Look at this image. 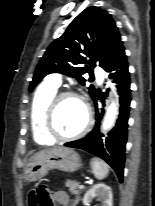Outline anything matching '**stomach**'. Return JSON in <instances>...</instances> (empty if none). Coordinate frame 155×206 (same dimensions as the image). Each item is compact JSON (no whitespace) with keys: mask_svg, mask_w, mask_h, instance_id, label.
Here are the masks:
<instances>
[{"mask_svg":"<svg viewBox=\"0 0 155 206\" xmlns=\"http://www.w3.org/2000/svg\"><path fill=\"white\" fill-rule=\"evenodd\" d=\"M82 166L77 152L67 147H57L35 154L25 170V180L35 182L43 178L50 170L59 169L72 173Z\"/></svg>","mask_w":155,"mask_h":206,"instance_id":"1","label":"stomach"}]
</instances>
